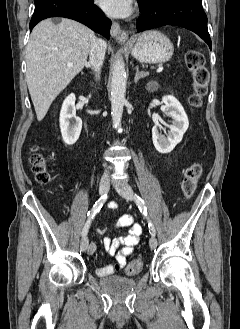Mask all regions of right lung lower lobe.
Instances as JSON below:
<instances>
[{
	"label": "right lung lower lobe",
	"instance_id": "right-lung-lower-lobe-1",
	"mask_svg": "<svg viewBox=\"0 0 240 329\" xmlns=\"http://www.w3.org/2000/svg\"><path fill=\"white\" fill-rule=\"evenodd\" d=\"M35 10L30 30L41 20L65 17L81 22L93 31L110 38V20L94 5V0H34Z\"/></svg>",
	"mask_w": 240,
	"mask_h": 329
}]
</instances>
